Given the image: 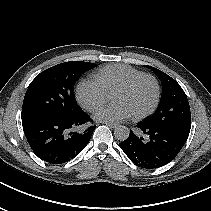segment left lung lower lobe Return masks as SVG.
I'll use <instances>...</instances> for the list:
<instances>
[{
    "mask_svg": "<svg viewBox=\"0 0 211 211\" xmlns=\"http://www.w3.org/2000/svg\"><path fill=\"white\" fill-rule=\"evenodd\" d=\"M140 137L130 130L129 137L119 145L128 158L138 167L159 168L172 161L184 146L187 138L164 127L137 124Z\"/></svg>",
    "mask_w": 211,
    "mask_h": 211,
    "instance_id": "obj_1",
    "label": "left lung lower lobe"
}]
</instances>
